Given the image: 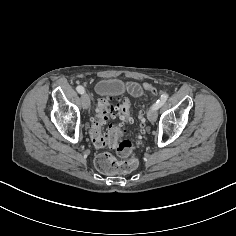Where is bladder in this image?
Wrapping results in <instances>:
<instances>
[{
    "label": "bladder",
    "instance_id": "1",
    "mask_svg": "<svg viewBox=\"0 0 236 236\" xmlns=\"http://www.w3.org/2000/svg\"><path fill=\"white\" fill-rule=\"evenodd\" d=\"M124 90V83L112 77H105L98 81L96 91L104 96H114Z\"/></svg>",
    "mask_w": 236,
    "mask_h": 236
}]
</instances>
